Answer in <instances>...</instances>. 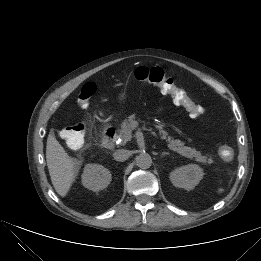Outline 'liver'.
Wrapping results in <instances>:
<instances>
[{
  "instance_id": "obj_1",
  "label": "liver",
  "mask_w": 261,
  "mask_h": 261,
  "mask_svg": "<svg viewBox=\"0 0 261 261\" xmlns=\"http://www.w3.org/2000/svg\"><path fill=\"white\" fill-rule=\"evenodd\" d=\"M46 161L56 192L65 197L76 178L80 162L66 153L52 133L47 138Z\"/></svg>"
}]
</instances>
